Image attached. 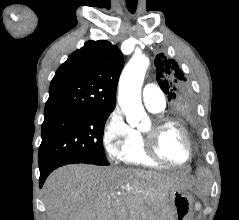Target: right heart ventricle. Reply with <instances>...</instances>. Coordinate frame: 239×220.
<instances>
[{
	"label": "right heart ventricle",
	"mask_w": 239,
	"mask_h": 220,
	"mask_svg": "<svg viewBox=\"0 0 239 220\" xmlns=\"http://www.w3.org/2000/svg\"><path fill=\"white\" fill-rule=\"evenodd\" d=\"M152 113H160L162 110L149 109ZM135 139L127 146L120 157V160L126 164L144 166V167H160L163 164L149 157L144 149L143 138L139 130H134Z\"/></svg>",
	"instance_id": "right-heart-ventricle-1"
}]
</instances>
